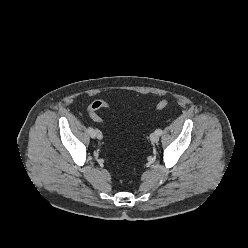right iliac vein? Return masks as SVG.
<instances>
[{"mask_svg": "<svg viewBox=\"0 0 248 248\" xmlns=\"http://www.w3.org/2000/svg\"><path fill=\"white\" fill-rule=\"evenodd\" d=\"M94 132H95V136L94 137H96L98 139H102V133H101V131H99V130L96 129Z\"/></svg>", "mask_w": 248, "mask_h": 248, "instance_id": "1", "label": "right iliac vein"}]
</instances>
